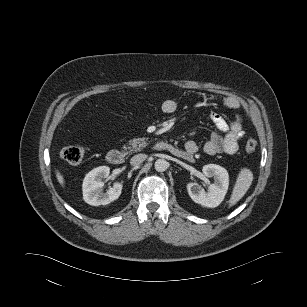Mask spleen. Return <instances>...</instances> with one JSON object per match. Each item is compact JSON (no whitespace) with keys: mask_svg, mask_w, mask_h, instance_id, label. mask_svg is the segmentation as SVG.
Segmentation results:
<instances>
[{"mask_svg":"<svg viewBox=\"0 0 307 307\" xmlns=\"http://www.w3.org/2000/svg\"><path fill=\"white\" fill-rule=\"evenodd\" d=\"M252 181L253 173L247 168L241 169L229 200L230 207L235 205L246 194Z\"/></svg>","mask_w":307,"mask_h":307,"instance_id":"3e777b00","label":"spleen"}]
</instances>
